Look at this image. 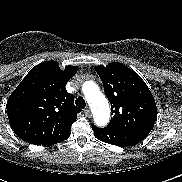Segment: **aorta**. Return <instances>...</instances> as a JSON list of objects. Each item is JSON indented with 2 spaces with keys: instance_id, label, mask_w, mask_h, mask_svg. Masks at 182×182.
Wrapping results in <instances>:
<instances>
[{
  "instance_id": "762f6f07",
  "label": "aorta",
  "mask_w": 182,
  "mask_h": 182,
  "mask_svg": "<svg viewBox=\"0 0 182 182\" xmlns=\"http://www.w3.org/2000/svg\"><path fill=\"white\" fill-rule=\"evenodd\" d=\"M83 92L92 110L95 124L104 127L110 118V108L106 97L93 81L84 83Z\"/></svg>"
}]
</instances>
